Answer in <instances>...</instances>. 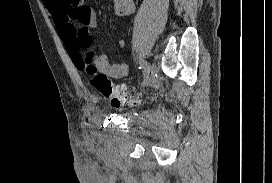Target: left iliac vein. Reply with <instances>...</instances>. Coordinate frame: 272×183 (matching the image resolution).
Returning a JSON list of instances; mask_svg holds the SVG:
<instances>
[{
    "instance_id": "4c4485c4",
    "label": "left iliac vein",
    "mask_w": 272,
    "mask_h": 183,
    "mask_svg": "<svg viewBox=\"0 0 272 183\" xmlns=\"http://www.w3.org/2000/svg\"><path fill=\"white\" fill-rule=\"evenodd\" d=\"M150 71H151V75L146 77V79H145V85L146 86H151L155 81V74H156V65H155V63H152V65L150 67Z\"/></svg>"
}]
</instances>
